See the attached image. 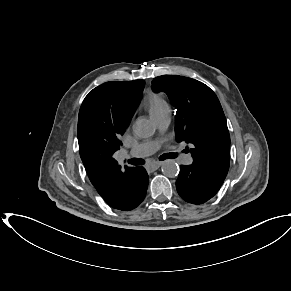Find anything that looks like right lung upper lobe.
Returning a JSON list of instances; mask_svg holds the SVG:
<instances>
[{
    "label": "right lung upper lobe",
    "instance_id": "right-lung-upper-lobe-1",
    "mask_svg": "<svg viewBox=\"0 0 291 291\" xmlns=\"http://www.w3.org/2000/svg\"><path fill=\"white\" fill-rule=\"evenodd\" d=\"M143 86V80L106 82L88 93L79 111L80 156L106 203H117L125 195V175L130 167L122 171L112 155L122 145L119 136L138 107Z\"/></svg>",
    "mask_w": 291,
    "mask_h": 291
}]
</instances>
